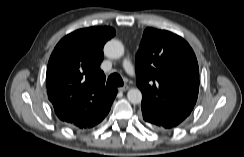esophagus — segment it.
<instances>
[{
  "label": "esophagus",
  "mask_w": 244,
  "mask_h": 157,
  "mask_svg": "<svg viewBox=\"0 0 244 157\" xmlns=\"http://www.w3.org/2000/svg\"><path fill=\"white\" fill-rule=\"evenodd\" d=\"M128 89H129V86H127V85L118 88V90L121 92L127 91Z\"/></svg>",
  "instance_id": "obj_1"
}]
</instances>
